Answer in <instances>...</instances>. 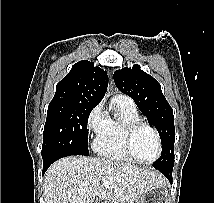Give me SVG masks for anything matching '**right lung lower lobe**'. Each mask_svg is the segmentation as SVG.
Instances as JSON below:
<instances>
[{
  "label": "right lung lower lobe",
  "mask_w": 214,
  "mask_h": 203,
  "mask_svg": "<svg viewBox=\"0 0 214 203\" xmlns=\"http://www.w3.org/2000/svg\"><path fill=\"white\" fill-rule=\"evenodd\" d=\"M59 158L58 157H52V158H46V159H43L44 162H43V174L45 173V171L48 169V167L53 163L55 162L56 160H58Z\"/></svg>",
  "instance_id": "right-lung-lower-lobe-1"
}]
</instances>
